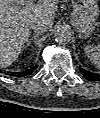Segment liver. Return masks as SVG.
Returning <instances> with one entry per match:
<instances>
[{
    "mask_svg": "<svg viewBox=\"0 0 100 118\" xmlns=\"http://www.w3.org/2000/svg\"><path fill=\"white\" fill-rule=\"evenodd\" d=\"M22 0H0V66L11 65L31 35V24L43 20L49 27L60 0H39L32 8L20 9ZM24 2L28 0H23Z\"/></svg>",
    "mask_w": 100,
    "mask_h": 118,
    "instance_id": "liver-1",
    "label": "liver"
}]
</instances>
